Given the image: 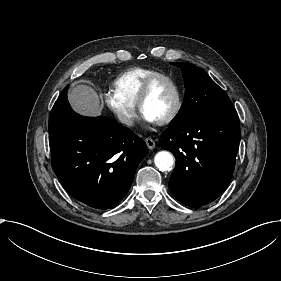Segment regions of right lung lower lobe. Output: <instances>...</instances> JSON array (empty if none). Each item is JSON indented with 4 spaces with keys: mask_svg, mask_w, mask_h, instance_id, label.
<instances>
[{
    "mask_svg": "<svg viewBox=\"0 0 281 281\" xmlns=\"http://www.w3.org/2000/svg\"><path fill=\"white\" fill-rule=\"evenodd\" d=\"M68 86L49 118L52 167L64 189L96 209L117 206L148 153L144 141L116 120L84 117L67 100Z\"/></svg>",
    "mask_w": 281,
    "mask_h": 281,
    "instance_id": "obj_1",
    "label": "right lung lower lobe"
}]
</instances>
